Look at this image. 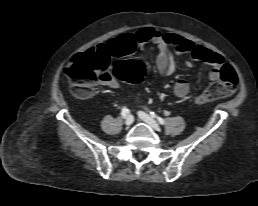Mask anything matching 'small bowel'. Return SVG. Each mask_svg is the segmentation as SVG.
<instances>
[{
    "label": "small bowel",
    "instance_id": "small-bowel-1",
    "mask_svg": "<svg viewBox=\"0 0 258 206\" xmlns=\"http://www.w3.org/2000/svg\"><path fill=\"white\" fill-rule=\"evenodd\" d=\"M136 47L145 50H156V68L162 76H170L176 70V55L189 54L194 60L201 61L210 66L209 78L217 80L224 60L218 53L185 39L178 34L161 33L153 29H142L135 34L125 33L111 39L105 44L93 47L113 57H121L132 53ZM173 49V50H172ZM191 66V61H186ZM103 83L110 88H118V81L110 77ZM189 83L178 80L174 85V94L178 99H183L189 93Z\"/></svg>",
    "mask_w": 258,
    "mask_h": 206
}]
</instances>
